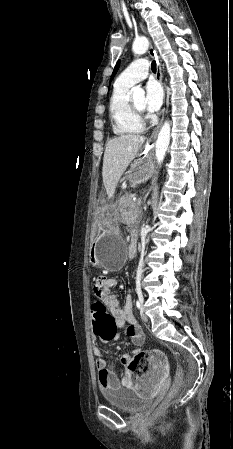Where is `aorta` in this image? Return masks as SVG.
Segmentation results:
<instances>
[{"mask_svg":"<svg viewBox=\"0 0 233 449\" xmlns=\"http://www.w3.org/2000/svg\"><path fill=\"white\" fill-rule=\"evenodd\" d=\"M148 47L149 42L147 38L140 37L134 41L132 49L135 54H144L147 51ZM132 92L133 95L135 96L144 95V90L140 87H133ZM170 131H171L170 123L168 121H165L159 131L155 147V155L158 164H161L162 161L164 160L165 153L167 151L170 142Z\"/></svg>","mask_w":233,"mask_h":449,"instance_id":"aorta-1","label":"aorta"}]
</instances>
